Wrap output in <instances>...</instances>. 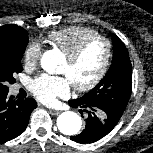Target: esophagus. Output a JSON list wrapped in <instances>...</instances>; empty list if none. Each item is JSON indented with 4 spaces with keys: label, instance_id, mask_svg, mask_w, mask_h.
<instances>
[{
    "label": "esophagus",
    "instance_id": "obj_1",
    "mask_svg": "<svg viewBox=\"0 0 153 153\" xmlns=\"http://www.w3.org/2000/svg\"><path fill=\"white\" fill-rule=\"evenodd\" d=\"M60 112H61L60 110L50 109V113L52 115H58Z\"/></svg>",
    "mask_w": 153,
    "mask_h": 153
}]
</instances>
